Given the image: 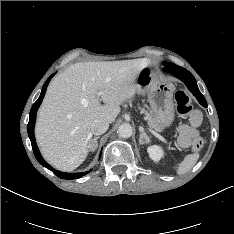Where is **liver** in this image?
<instances>
[{"label":"liver","instance_id":"1","mask_svg":"<svg viewBox=\"0 0 234 234\" xmlns=\"http://www.w3.org/2000/svg\"><path fill=\"white\" fill-rule=\"evenodd\" d=\"M148 64L145 58L81 62L59 74L48 86L35 127L44 158L62 171L82 164L90 150L92 123L115 121L120 105L137 93L134 80Z\"/></svg>","mask_w":234,"mask_h":234}]
</instances>
